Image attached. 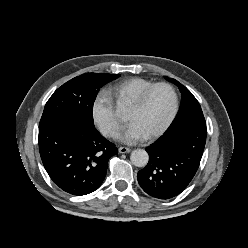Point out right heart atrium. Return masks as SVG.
Here are the masks:
<instances>
[{
  "instance_id": "right-heart-atrium-1",
  "label": "right heart atrium",
  "mask_w": 248,
  "mask_h": 248,
  "mask_svg": "<svg viewBox=\"0 0 248 248\" xmlns=\"http://www.w3.org/2000/svg\"><path fill=\"white\" fill-rule=\"evenodd\" d=\"M91 116L95 126L106 137H114L120 127L110 95L99 92L91 105Z\"/></svg>"
}]
</instances>
